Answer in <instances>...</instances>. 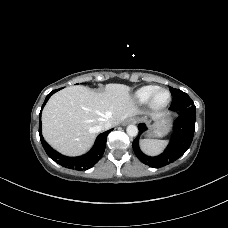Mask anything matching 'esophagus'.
<instances>
[{"mask_svg": "<svg viewBox=\"0 0 228 228\" xmlns=\"http://www.w3.org/2000/svg\"><path fill=\"white\" fill-rule=\"evenodd\" d=\"M136 123H137L136 118H128V119L123 123V125H126V124H136Z\"/></svg>", "mask_w": 228, "mask_h": 228, "instance_id": "1", "label": "esophagus"}]
</instances>
